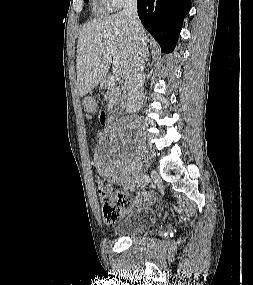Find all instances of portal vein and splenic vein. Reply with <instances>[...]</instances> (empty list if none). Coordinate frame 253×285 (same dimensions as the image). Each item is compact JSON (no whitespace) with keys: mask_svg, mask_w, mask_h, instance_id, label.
I'll use <instances>...</instances> for the list:
<instances>
[{"mask_svg":"<svg viewBox=\"0 0 253 285\" xmlns=\"http://www.w3.org/2000/svg\"><path fill=\"white\" fill-rule=\"evenodd\" d=\"M112 57H113V72L118 75L120 73V63L119 59L117 57V54L115 52H112Z\"/></svg>","mask_w":253,"mask_h":285,"instance_id":"obj_1","label":"portal vein and splenic vein"}]
</instances>
